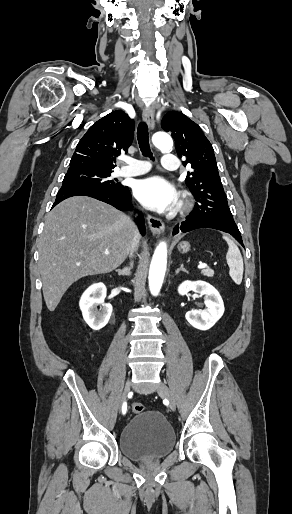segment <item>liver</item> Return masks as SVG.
<instances>
[{"instance_id":"liver-1","label":"liver","mask_w":292,"mask_h":514,"mask_svg":"<svg viewBox=\"0 0 292 514\" xmlns=\"http://www.w3.org/2000/svg\"><path fill=\"white\" fill-rule=\"evenodd\" d=\"M135 236L130 218L99 200L73 196L58 204L45 216L38 246L48 310L54 312L79 278L116 270L126 260Z\"/></svg>"}]
</instances>
